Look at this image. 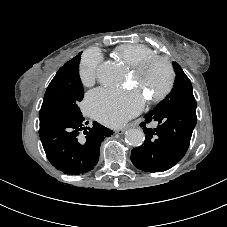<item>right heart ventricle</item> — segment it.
Returning a JSON list of instances; mask_svg holds the SVG:
<instances>
[{
    "instance_id": "e07e8e85",
    "label": "right heart ventricle",
    "mask_w": 227,
    "mask_h": 227,
    "mask_svg": "<svg viewBox=\"0 0 227 227\" xmlns=\"http://www.w3.org/2000/svg\"><path fill=\"white\" fill-rule=\"evenodd\" d=\"M115 55L127 65L133 67L144 59L155 56V52L141 44H123L118 46Z\"/></svg>"
}]
</instances>
